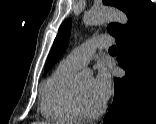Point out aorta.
<instances>
[{
  "label": "aorta",
  "instance_id": "1",
  "mask_svg": "<svg viewBox=\"0 0 156 124\" xmlns=\"http://www.w3.org/2000/svg\"><path fill=\"white\" fill-rule=\"evenodd\" d=\"M84 22L87 25H98L105 22H116L122 25L127 24V15L115 8L103 7L99 9H91L84 15ZM87 72L84 70L83 73Z\"/></svg>",
  "mask_w": 156,
  "mask_h": 124
}]
</instances>
